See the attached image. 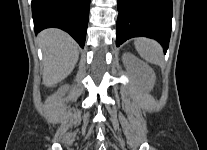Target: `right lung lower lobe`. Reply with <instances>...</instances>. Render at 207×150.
<instances>
[{
    "mask_svg": "<svg viewBox=\"0 0 207 150\" xmlns=\"http://www.w3.org/2000/svg\"><path fill=\"white\" fill-rule=\"evenodd\" d=\"M90 0H32L35 33L49 27L68 32L83 48Z\"/></svg>",
    "mask_w": 207,
    "mask_h": 150,
    "instance_id": "obj_1",
    "label": "right lung lower lobe"
}]
</instances>
